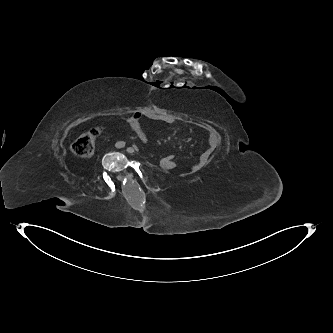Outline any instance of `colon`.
<instances>
[{
    "mask_svg": "<svg viewBox=\"0 0 333 333\" xmlns=\"http://www.w3.org/2000/svg\"><path fill=\"white\" fill-rule=\"evenodd\" d=\"M101 130L99 128H93L82 134L77 138L72 144L71 150L72 153L79 158H88L94 152L95 141L100 135ZM175 155L173 153L162 157L159 161L161 165H166V163L171 162L172 158Z\"/></svg>",
    "mask_w": 333,
    "mask_h": 333,
    "instance_id": "obj_1",
    "label": "colon"
}]
</instances>
